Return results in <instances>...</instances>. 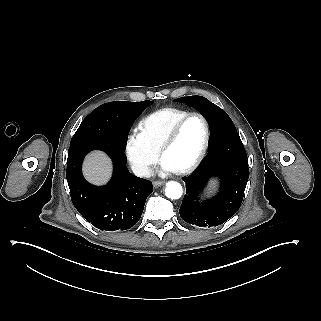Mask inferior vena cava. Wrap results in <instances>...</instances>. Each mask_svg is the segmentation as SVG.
Returning a JSON list of instances; mask_svg holds the SVG:
<instances>
[{"mask_svg": "<svg viewBox=\"0 0 321 321\" xmlns=\"http://www.w3.org/2000/svg\"><path fill=\"white\" fill-rule=\"evenodd\" d=\"M133 173L138 177H151L153 176V171L146 165L134 164L131 166Z\"/></svg>", "mask_w": 321, "mask_h": 321, "instance_id": "602c4592", "label": "inferior vena cava"}]
</instances>
